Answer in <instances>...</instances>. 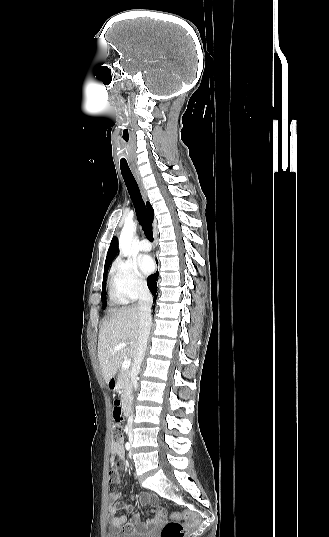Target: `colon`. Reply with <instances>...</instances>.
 I'll use <instances>...</instances> for the list:
<instances>
[{
	"label": "colon",
	"mask_w": 329,
	"mask_h": 537,
	"mask_svg": "<svg viewBox=\"0 0 329 537\" xmlns=\"http://www.w3.org/2000/svg\"><path fill=\"white\" fill-rule=\"evenodd\" d=\"M114 403H117V401ZM122 436L123 428L121 424L114 423L111 429L112 443L122 441ZM171 516L172 519L168 521L161 530V537H184L188 528L196 526L200 513L196 509H185L180 511V513L179 511L174 510L172 511ZM180 518L189 520V522L184 523L180 521Z\"/></svg>",
	"instance_id": "colon-1"
}]
</instances>
